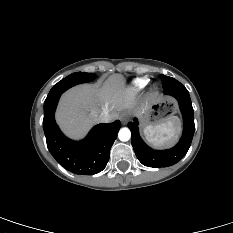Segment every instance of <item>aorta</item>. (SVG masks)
I'll list each match as a JSON object with an SVG mask.
<instances>
[{"instance_id": "762f6f07", "label": "aorta", "mask_w": 233, "mask_h": 233, "mask_svg": "<svg viewBox=\"0 0 233 233\" xmlns=\"http://www.w3.org/2000/svg\"><path fill=\"white\" fill-rule=\"evenodd\" d=\"M118 138L123 142L128 141L131 138L130 130L128 128L120 129L118 133Z\"/></svg>"}]
</instances>
